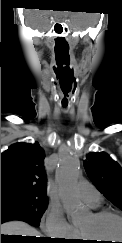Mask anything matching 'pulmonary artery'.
Segmentation results:
<instances>
[{
	"label": "pulmonary artery",
	"mask_w": 122,
	"mask_h": 243,
	"mask_svg": "<svg viewBox=\"0 0 122 243\" xmlns=\"http://www.w3.org/2000/svg\"><path fill=\"white\" fill-rule=\"evenodd\" d=\"M80 197L91 207H98L101 202V195L99 191L88 182L81 181L76 188Z\"/></svg>",
	"instance_id": "1"
}]
</instances>
